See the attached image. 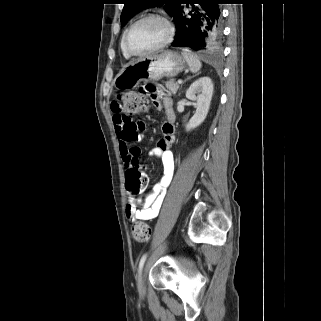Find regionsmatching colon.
Wrapping results in <instances>:
<instances>
[{
    "label": "colon",
    "instance_id": "1",
    "mask_svg": "<svg viewBox=\"0 0 321 321\" xmlns=\"http://www.w3.org/2000/svg\"><path fill=\"white\" fill-rule=\"evenodd\" d=\"M118 109L120 113L130 118L132 115L140 114L148 109V98H142L141 94L128 92L121 94L118 98ZM147 176L141 170L138 160H133L126 170V188L132 194H140L147 186ZM152 234L150 226L145 222H137L132 227V236L138 242H148Z\"/></svg>",
    "mask_w": 321,
    "mask_h": 321
}]
</instances>
